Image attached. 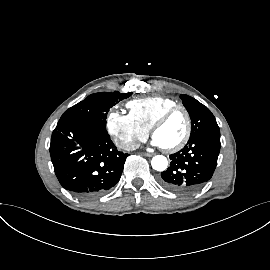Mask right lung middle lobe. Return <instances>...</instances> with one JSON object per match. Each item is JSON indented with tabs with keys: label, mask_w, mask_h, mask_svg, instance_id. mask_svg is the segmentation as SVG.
Returning a JSON list of instances; mask_svg holds the SVG:
<instances>
[{
	"label": "right lung middle lobe",
	"mask_w": 270,
	"mask_h": 270,
	"mask_svg": "<svg viewBox=\"0 0 270 270\" xmlns=\"http://www.w3.org/2000/svg\"><path fill=\"white\" fill-rule=\"evenodd\" d=\"M131 95L132 93H119L118 91H114L113 93L99 92L91 94L83 101L66 110L58 124L84 121L106 129V117L109 109Z\"/></svg>",
	"instance_id": "dd1d6c3e"
}]
</instances>
